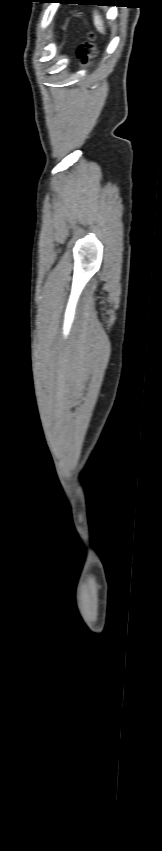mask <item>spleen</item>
Returning <instances> with one entry per match:
<instances>
[{
    "instance_id": "spleen-1",
    "label": "spleen",
    "mask_w": 162,
    "mask_h": 851,
    "mask_svg": "<svg viewBox=\"0 0 162 851\" xmlns=\"http://www.w3.org/2000/svg\"><path fill=\"white\" fill-rule=\"evenodd\" d=\"M93 18H94V25L97 28V30L100 33L104 34L105 29H104L103 20H102L101 15H99V13L97 11H95L94 14H93Z\"/></svg>"
}]
</instances>
